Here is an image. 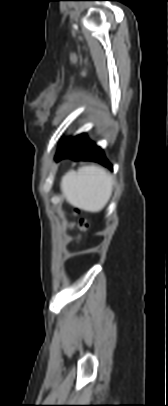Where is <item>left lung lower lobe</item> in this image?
<instances>
[{
	"label": "left lung lower lobe",
	"instance_id": "1",
	"mask_svg": "<svg viewBox=\"0 0 168 406\" xmlns=\"http://www.w3.org/2000/svg\"><path fill=\"white\" fill-rule=\"evenodd\" d=\"M65 157H70L74 160L95 161L108 168H112L102 150L88 140L85 134L75 137L60 147L55 157L56 160H61Z\"/></svg>",
	"mask_w": 168,
	"mask_h": 406
}]
</instances>
